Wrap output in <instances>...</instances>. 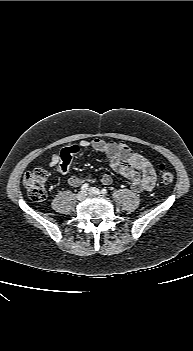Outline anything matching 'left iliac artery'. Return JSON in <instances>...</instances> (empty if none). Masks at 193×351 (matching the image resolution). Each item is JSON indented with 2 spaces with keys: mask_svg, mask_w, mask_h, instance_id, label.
Masks as SVG:
<instances>
[{
  "mask_svg": "<svg viewBox=\"0 0 193 351\" xmlns=\"http://www.w3.org/2000/svg\"><path fill=\"white\" fill-rule=\"evenodd\" d=\"M101 193H102V194H107V189L103 188V189L101 190Z\"/></svg>",
  "mask_w": 193,
  "mask_h": 351,
  "instance_id": "1",
  "label": "left iliac artery"
}]
</instances>
